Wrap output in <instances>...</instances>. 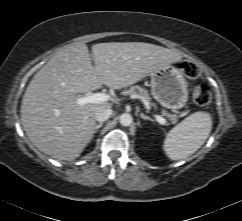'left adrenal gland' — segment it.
I'll return each instance as SVG.
<instances>
[{"mask_svg": "<svg viewBox=\"0 0 242 221\" xmlns=\"http://www.w3.org/2000/svg\"><path fill=\"white\" fill-rule=\"evenodd\" d=\"M140 117L144 120H150V121H154L152 118H150L149 116H146L145 114L143 113H140Z\"/></svg>", "mask_w": 242, "mask_h": 221, "instance_id": "1", "label": "left adrenal gland"}]
</instances>
